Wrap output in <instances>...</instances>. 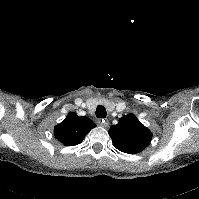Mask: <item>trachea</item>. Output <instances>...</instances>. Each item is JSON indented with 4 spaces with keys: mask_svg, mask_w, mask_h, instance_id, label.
Segmentation results:
<instances>
[{
    "mask_svg": "<svg viewBox=\"0 0 199 199\" xmlns=\"http://www.w3.org/2000/svg\"><path fill=\"white\" fill-rule=\"evenodd\" d=\"M96 117L97 118H105L106 117V109L104 106H102V105L97 106Z\"/></svg>",
    "mask_w": 199,
    "mask_h": 199,
    "instance_id": "trachea-1",
    "label": "trachea"
}]
</instances>
